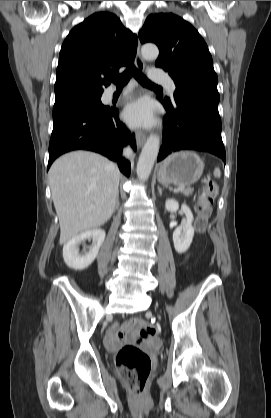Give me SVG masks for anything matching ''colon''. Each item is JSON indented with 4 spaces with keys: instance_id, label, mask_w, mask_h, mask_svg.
<instances>
[{
    "instance_id": "obj_1",
    "label": "colon",
    "mask_w": 271,
    "mask_h": 418,
    "mask_svg": "<svg viewBox=\"0 0 271 418\" xmlns=\"http://www.w3.org/2000/svg\"><path fill=\"white\" fill-rule=\"evenodd\" d=\"M217 193L218 185L211 180L207 181L200 191L196 204L198 215L196 227L199 232L204 230L206 221L212 213V206ZM137 322L141 325L140 333L143 338L153 337L156 334L152 325L140 319ZM116 367L132 394L141 396L145 391L151 372L149 355L134 345H125L116 356Z\"/></svg>"
}]
</instances>
